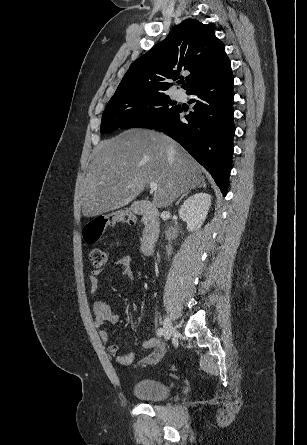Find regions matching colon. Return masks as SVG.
<instances>
[{
	"mask_svg": "<svg viewBox=\"0 0 307 445\" xmlns=\"http://www.w3.org/2000/svg\"><path fill=\"white\" fill-rule=\"evenodd\" d=\"M137 217L129 212H113L108 215L99 216L92 221H90L83 230L84 240L88 244L96 243L103 235L105 229L116 223V222H126L129 224H135ZM90 260L96 269H101L107 264L108 257L107 253L100 248H94L90 252ZM172 370H176L172 367Z\"/></svg>",
	"mask_w": 307,
	"mask_h": 445,
	"instance_id": "obj_1",
	"label": "colon"
}]
</instances>
